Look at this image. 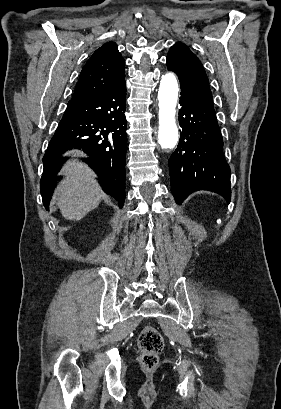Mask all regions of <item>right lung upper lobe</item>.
<instances>
[{"label":"right lung upper lobe","mask_w":281,"mask_h":409,"mask_svg":"<svg viewBox=\"0 0 281 409\" xmlns=\"http://www.w3.org/2000/svg\"><path fill=\"white\" fill-rule=\"evenodd\" d=\"M124 59L114 42L97 49L83 67L71 100L102 94L125 78Z\"/></svg>","instance_id":"right-lung-upper-lobe-1"}]
</instances>
